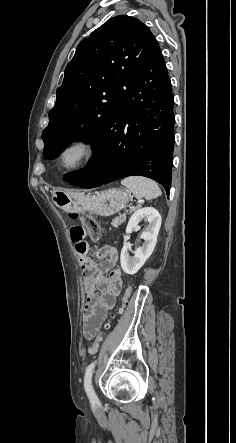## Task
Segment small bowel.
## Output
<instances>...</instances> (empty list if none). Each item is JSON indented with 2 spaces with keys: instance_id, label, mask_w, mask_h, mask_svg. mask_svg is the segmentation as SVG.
<instances>
[{
  "instance_id": "c3829d8e",
  "label": "small bowel",
  "mask_w": 236,
  "mask_h": 443,
  "mask_svg": "<svg viewBox=\"0 0 236 443\" xmlns=\"http://www.w3.org/2000/svg\"><path fill=\"white\" fill-rule=\"evenodd\" d=\"M82 243L86 244L85 241ZM86 247V251L81 252L76 246V251L84 274L86 293L83 333L87 339H91L101 328L108 311L114 307L116 297L123 287V275L117 267L119 251L116 247L108 244L94 245L90 248L86 244ZM89 251L95 252L101 262H94L87 255ZM104 272H108V277L103 276Z\"/></svg>"
}]
</instances>
